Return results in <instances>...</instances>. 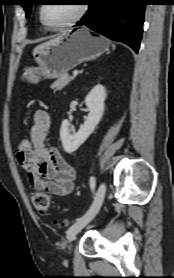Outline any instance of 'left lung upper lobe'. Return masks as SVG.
Segmentation results:
<instances>
[{"mask_svg": "<svg viewBox=\"0 0 174 278\" xmlns=\"http://www.w3.org/2000/svg\"><path fill=\"white\" fill-rule=\"evenodd\" d=\"M35 0H22V6L24 7L25 11H26V17L30 16L31 13V7L34 3Z\"/></svg>", "mask_w": 174, "mask_h": 278, "instance_id": "left-lung-upper-lobe-1", "label": "left lung upper lobe"}]
</instances>
